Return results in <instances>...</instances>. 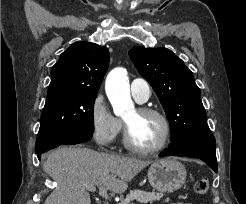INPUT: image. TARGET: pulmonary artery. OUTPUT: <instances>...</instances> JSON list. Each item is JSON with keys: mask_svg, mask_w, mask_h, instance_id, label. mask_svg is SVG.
I'll list each match as a JSON object with an SVG mask.
<instances>
[{"mask_svg": "<svg viewBox=\"0 0 246 204\" xmlns=\"http://www.w3.org/2000/svg\"><path fill=\"white\" fill-rule=\"evenodd\" d=\"M130 90L133 98L139 103L147 101L151 93L148 82L141 78L134 79L131 82Z\"/></svg>", "mask_w": 246, "mask_h": 204, "instance_id": "e3ab8cb5", "label": "pulmonary artery"}]
</instances>
